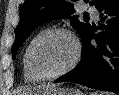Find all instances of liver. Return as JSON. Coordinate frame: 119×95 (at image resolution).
<instances>
[{"mask_svg": "<svg viewBox=\"0 0 119 95\" xmlns=\"http://www.w3.org/2000/svg\"><path fill=\"white\" fill-rule=\"evenodd\" d=\"M46 87H52V85H46V86H43V88H46Z\"/></svg>", "mask_w": 119, "mask_h": 95, "instance_id": "1", "label": "liver"}]
</instances>
